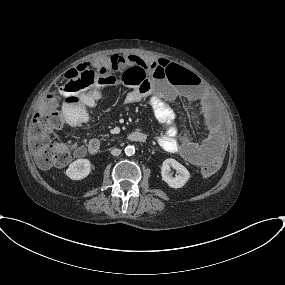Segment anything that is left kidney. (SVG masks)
<instances>
[{
	"label": "left kidney",
	"instance_id": "left-kidney-1",
	"mask_svg": "<svg viewBox=\"0 0 285 285\" xmlns=\"http://www.w3.org/2000/svg\"><path fill=\"white\" fill-rule=\"evenodd\" d=\"M170 167L175 169L178 173L175 177L170 174ZM162 180L165 181L171 188H181L189 180L190 173L188 170L180 164L178 161L172 158L164 160L161 168Z\"/></svg>",
	"mask_w": 285,
	"mask_h": 285
}]
</instances>
